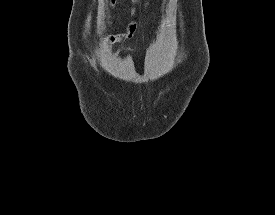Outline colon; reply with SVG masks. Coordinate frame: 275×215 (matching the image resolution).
<instances>
[{"label": "colon", "mask_w": 275, "mask_h": 215, "mask_svg": "<svg viewBox=\"0 0 275 215\" xmlns=\"http://www.w3.org/2000/svg\"><path fill=\"white\" fill-rule=\"evenodd\" d=\"M116 1H117V0H111L110 2H111L112 4H114Z\"/></svg>", "instance_id": "5ec220e1"}]
</instances>
